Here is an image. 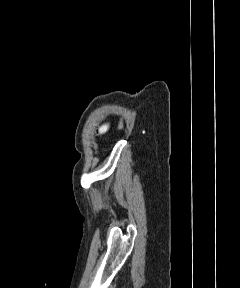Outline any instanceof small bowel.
<instances>
[{"label":"small bowel","instance_id":"1","mask_svg":"<svg viewBox=\"0 0 240 288\" xmlns=\"http://www.w3.org/2000/svg\"><path fill=\"white\" fill-rule=\"evenodd\" d=\"M107 128H108V126L105 125V126L101 127L100 131H101V132H105V131L107 130Z\"/></svg>","mask_w":240,"mask_h":288}]
</instances>
